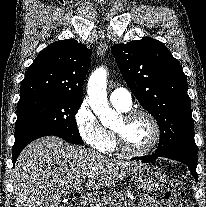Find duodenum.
Wrapping results in <instances>:
<instances>
[{
  "label": "duodenum",
  "mask_w": 206,
  "mask_h": 207,
  "mask_svg": "<svg viewBox=\"0 0 206 207\" xmlns=\"http://www.w3.org/2000/svg\"><path fill=\"white\" fill-rule=\"evenodd\" d=\"M76 207H86V202L81 199L79 201H75Z\"/></svg>",
  "instance_id": "duodenum-1"
}]
</instances>
